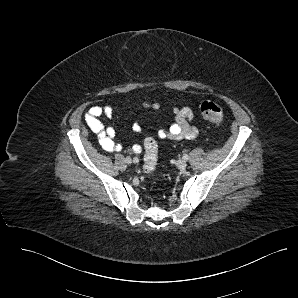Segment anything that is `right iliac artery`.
Wrapping results in <instances>:
<instances>
[{"mask_svg": "<svg viewBox=\"0 0 298 298\" xmlns=\"http://www.w3.org/2000/svg\"><path fill=\"white\" fill-rule=\"evenodd\" d=\"M133 162H134V163H138V162H139V159H138L137 157H134V158H133Z\"/></svg>", "mask_w": 298, "mask_h": 298, "instance_id": "obj_1", "label": "right iliac artery"}]
</instances>
